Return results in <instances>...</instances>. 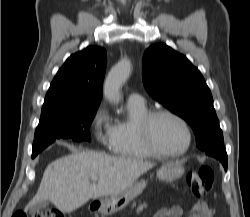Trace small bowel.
<instances>
[{"mask_svg":"<svg viewBox=\"0 0 250 217\" xmlns=\"http://www.w3.org/2000/svg\"><path fill=\"white\" fill-rule=\"evenodd\" d=\"M183 214V210L179 205H173L167 208H161L156 211L153 217H181ZM189 217H204L195 211V207H193V212Z\"/></svg>","mask_w":250,"mask_h":217,"instance_id":"obj_1","label":"small bowel"}]
</instances>
